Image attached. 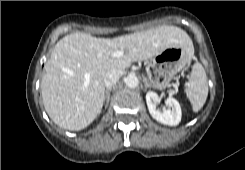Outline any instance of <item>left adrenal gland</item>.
Listing matches in <instances>:
<instances>
[{"mask_svg":"<svg viewBox=\"0 0 245 170\" xmlns=\"http://www.w3.org/2000/svg\"><path fill=\"white\" fill-rule=\"evenodd\" d=\"M143 81H144V84H145V91L147 90V88H151V84L147 82L146 78H144Z\"/></svg>","mask_w":245,"mask_h":170,"instance_id":"1","label":"left adrenal gland"}]
</instances>
